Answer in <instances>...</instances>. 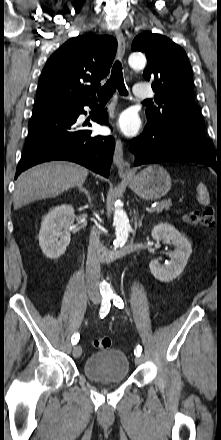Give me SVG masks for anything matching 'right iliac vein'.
Segmentation results:
<instances>
[{"mask_svg":"<svg viewBox=\"0 0 221 440\" xmlns=\"http://www.w3.org/2000/svg\"><path fill=\"white\" fill-rule=\"evenodd\" d=\"M82 354V348L80 346H75L73 349L74 358H79Z\"/></svg>","mask_w":221,"mask_h":440,"instance_id":"63e3f726","label":"right iliac vein"}]
</instances>
